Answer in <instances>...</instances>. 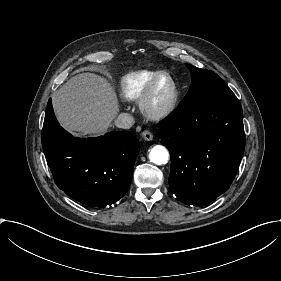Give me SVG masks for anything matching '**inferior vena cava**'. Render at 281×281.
<instances>
[{
  "label": "inferior vena cava",
  "instance_id": "obj_1",
  "mask_svg": "<svg viewBox=\"0 0 281 281\" xmlns=\"http://www.w3.org/2000/svg\"><path fill=\"white\" fill-rule=\"evenodd\" d=\"M114 123L118 128L129 129L134 125V118L128 113H121L118 115Z\"/></svg>",
  "mask_w": 281,
  "mask_h": 281
}]
</instances>
